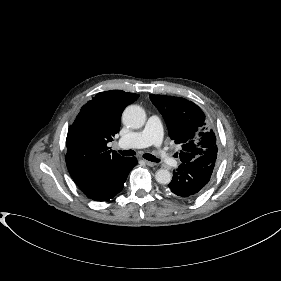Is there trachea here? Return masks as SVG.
Returning a JSON list of instances; mask_svg holds the SVG:
<instances>
[{"mask_svg": "<svg viewBox=\"0 0 281 281\" xmlns=\"http://www.w3.org/2000/svg\"><path fill=\"white\" fill-rule=\"evenodd\" d=\"M121 155L123 156H134L136 154V152L134 150H123V151H118ZM143 158L152 161V162H160V160L158 158H156L155 156H153L152 154H144Z\"/></svg>", "mask_w": 281, "mask_h": 281, "instance_id": "trachea-1", "label": "trachea"}]
</instances>
